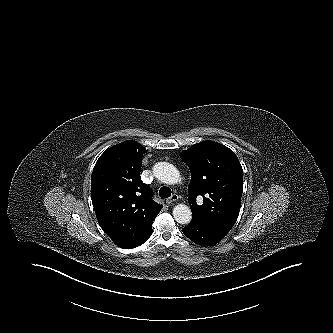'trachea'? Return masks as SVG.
I'll return each instance as SVG.
<instances>
[{"label": "trachea", "mask_w": 333, "mask_h": 333, "mask_svg": "<svg viewBox=\"0 0 333 333\" xmlns=\"http://www.w3.org/2000/svg\"><path fill=\"white\" fill-rule=\"evenodd\" d=\"M159 196L161 198H168L171 196V190L169 187H161L160 190H159Z\"/></svg>", "instance_id": "3493384b"}]
</instances>
